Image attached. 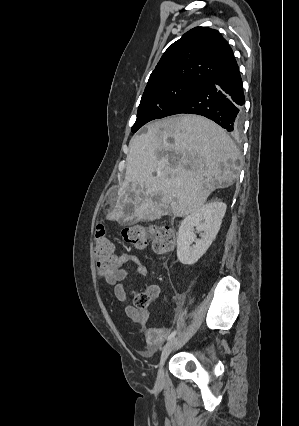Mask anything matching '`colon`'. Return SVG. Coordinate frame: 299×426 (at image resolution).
<instances>
[{"label": "colon", "instance_id": "5ec220e1", "mask_svg": "<svg viewBox=\"0 0 299 426\" xmlns=\"http://www.w3.org/2000/svg\"><path fill=\"white\" fill-rule=\"evenodd\" d=\"M95 254L99 263L108 269L116 267L115 247L108 239L106 228L99 223L95 227ZM123 239L134 245L143 248L151 241L152 248L157 253H169L174 250L175 236L168 226H131L123 229ZM151 302V296L147 293H137L134 296V306L138 309H145Z\"/></svg>", "mask_w": 299, "mask_h": 426}]
</instances>
